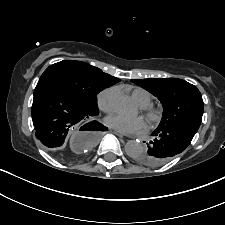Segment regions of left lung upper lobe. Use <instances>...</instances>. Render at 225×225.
I'll return each instance as SVG.
<instances>
[{
  "instance_id": "obj_1",
  "label": "left lung upper lobe",
  "mask_w": 225,
  "mask_h": 225,
  "mask_svg": "<svg viewBox=\"0 0 225 225\" xmlns=\"http://www.w3.org/2000/svg\"><path fill=\"white\" fill-rule=\"evenodd\" d=\"M131 81L161 101L164 111L157 129H164L187 120L202 121L204 103L200 91L194 85L177 78H148ZM142 157L144 153L136 158Z\"/></svg>"
}]
</instances>
